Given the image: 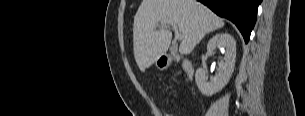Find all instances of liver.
Wrapping results in <instances>:
<instances>
[{
    "instance_id": "liver-1",
    "label": "liver",
    "mask_w": 305,
    "mask_h": 116,
    "mask_svg": "<svg viewBox=\"0 0 305 116\" xmlns=\"http://www.w3.org/2000/svg\"><path fill=\"white\" fill-rule=\"evenodd\" d=\"M176 23L182 35L179 52L190 54L209 32L220 29L224 21L196 0H143L133 24V50L139 69L144 72L171 43L168 29L155 30L161 21Z\"/></svg>"
}]
</instances>
